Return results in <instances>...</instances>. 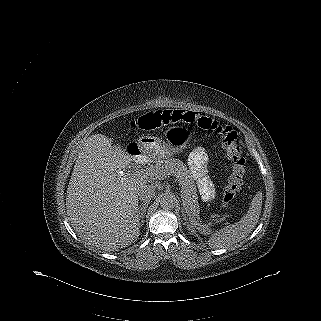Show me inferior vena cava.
I'll return each mask as SVG.
<instances>
[{
    "label": "inferior vena cava",
    "mask_w": 321,
    "mask_h": 321,
    "mask_svg": "<svg viewBox=\"0 0 321 321\" xmlns=\"http://www.w3.org/2000/svg\"><path fill=\"white\" fill-rule=\"evenodd\" d=\"M155 195V187L150 184H144L138 191V196L141 201L149 202Z\"/></svg>",
    "instance_id": "inferior-vena-cava-1"
}]
</instances>
